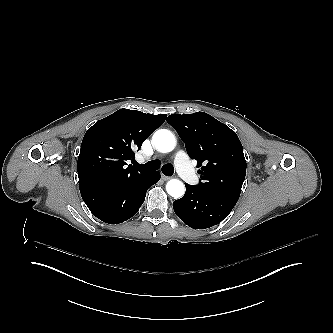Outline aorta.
Segmentation results:
<instances>
[{"mask_svg": "<svg viewBox=\"0 0 333 333\" xmlns=\"http://www.w3.org/2000/svg\"><path fill=\"white\" fill-rule=\"evenodd\" d=\"M152 142L155 148L162 153L172 151L176 144L173 134L166 129L156 131L152 137ZM166 190L172 197L179 198L184 195L185 187L180 180L172 179L167 182Z\"/></svg>", "mask_w": 333, "mask_h": 333, "instance_id": "762f6f07", "label": "aorta"}]
</instances>
